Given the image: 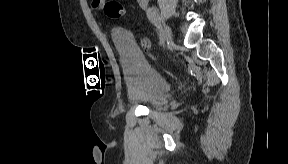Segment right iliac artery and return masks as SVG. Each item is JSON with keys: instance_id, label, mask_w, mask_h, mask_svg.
Returning a JSON list of instances; mask_svg holds the SVG:
<instances>
[{"instance_id": "82829eb1", "label": "right iliac artery", "mask_w": 288, "mask_h": 164, "mask_svg": "<svg viewBox=\"0 0 288 164\" xmlns=\"http://www.w3.org/2000/svg\"><path fill=\"white\" fill-rule=\"evenodd\" d=\"M148 19L150 20V22L156 27V29L159 31V36H160V44L163 43V38H162V34H161V26L159 24L158 21V15L156 14V12L152 9L148 10Z\"/></svg>"}]
</instances>
